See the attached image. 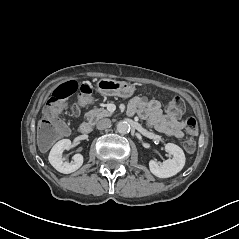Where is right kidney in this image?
Returning a JSON list of instances; mask_svg holds the SVG:
<instances>
[{
    "label": "right kidney",
    "mask_w": 239,
    "mask_h": 239,
    "mask_svg": "<svg viewBox=\"0 0 239 239\" xmlns=\"http://www.w3.org/2000/svg\"><path fill=\"white\" fill-rule=\"evenodd\" d=\"M72 147L69 139H62L58 141L51 149L49 154L50 164L60 173L69 174L79 169L83 164V156L81 154H75L73 156V162L69 163L64 161L62 153L64 150H69Z\"/></svg>",
    "instance_id": "obj_1"
}]
</instances>
